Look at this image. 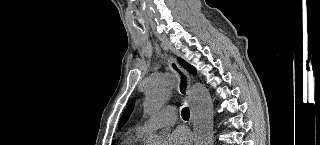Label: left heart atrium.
Segmentation results:
<instances>
[{
	"instance_id": "left-heart-atrium-1",
	"label": "left heart atrium",
	"mask_w": 320,
	"mask_h": 145,
	"mask_svg": "<svg viewBox=\"0 0 320 145\" xmlns=\"http://www.w3.org/2000/svg\"><path fill=\"white\" fill-rule=\"evenodd\" d=\"M169 145H190L191 136L182 128L176 129L168 138Z\"/></svg>"
}]
</instances>
